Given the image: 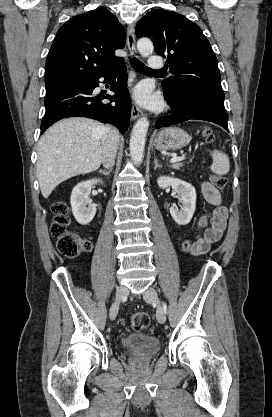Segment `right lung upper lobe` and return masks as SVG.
Here are the masks:
<instances>
[{"mask_svg":"<svg viewBox=\"0 0 272 417\" xmlns=\"http://www.w3.org/2000/svg\"><path fill=\"white\" fill-rule=\"evenodd\" d=\"M125 45V30L106 9L69 19L58 30L46 62V88L83 81L122 61L114 51Z\"/></svg>","mask_w":272,"mask_h":417,"instance_id":"1","label":"right lung upper lobe"}]
</instances>
